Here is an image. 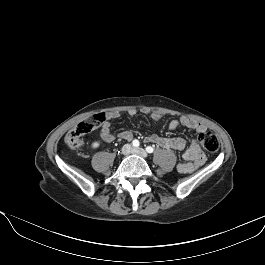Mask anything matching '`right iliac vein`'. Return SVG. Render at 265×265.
Returning a JSON list of instances; mask_svg holds the SVG:
<instances>
[{
    "label": "right iliac vein",
    "mask_w": 265,
    "mask_h": 265,
    "mask_svg": "<svg viewBox=\"0 0 265 265\" xmlns=\"http://www.w3.org/2000/svg\"><path fill=\"white\" fill-rule=\"evenodd\" d=\"M121 151L123 155H129L132 151V146L130 144H125L122 147Z\"/></svg>",
    "instance_id": "1"
}]
</instances>
